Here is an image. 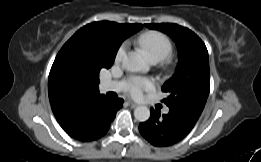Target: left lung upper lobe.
Masks as SVG:
<instances>
[{
    "label": "left lung upper lobe",
    "mask_w": 261,
    "mask_h": 162,
    "mask_svg": "<svg viewBox=\"0 0 261 162\" xmlns=\"http://www.w3.org/2000/svg\"><path fill=\"white\" fill-rule=\"evenodd\" d=\"M168 34L176 43L179 63L175 74L163 85L169 96L163 102L184 105L201 114L210 91L208 51L202 40L188 28L173 23L145 24Z\"/></svg>",
    "instance_id": "5c2ea615"
}]
</instances>
